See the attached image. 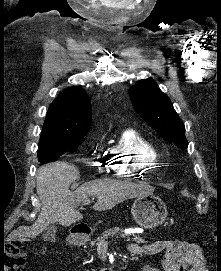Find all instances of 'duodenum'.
I'll return each mask as SVG.
<instances>
[{
  "mask_svg": "<svg viewBox=\"0 0 221 271\" xmlns=\"http://www.w3.org/2000/svg\"><path fill=\"white\" fill-rule=\"evenodd\" d=\"M89 239V231L84 229L73 230L70 236V243L75 246L84 245ZM103 271H114L112 268L104 269Z\"/></svg>",
  "mask_w": 221,
  "mask_h": 271,
  "instance_id": "obj_1",
  "label": "duodenum"
}]
</instances>
